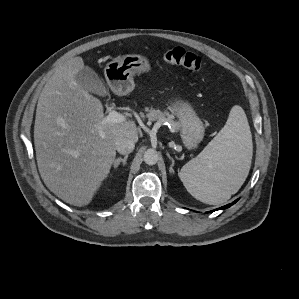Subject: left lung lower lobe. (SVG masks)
<instances>
[{"mask_svg":"<svg viewBox=\"0 0 299 299\" xmlns=\"http://www.w3.org/2000/svg\"><path fill=\"white\" fill-rule=\"evenodd\" d=\"M237 201H238V199L235 200L233 203H230V204H228V205H225V206H223V207H221V208H218V209H216V210L229 208L231 205H233V204L236 203ZM213 211H215V210H213ZM213 211H212V212H213Z\"/></svg>","mask_w":299,"mask_h":299,"instance_id":"left-lung-lower-lobe-1","label":"left lung lower lobe"}]
</instances>
